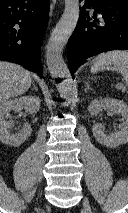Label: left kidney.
I'll return each mask as SVG.
<instances>
[{"label": "left kidney", "instance_id": "5707ae66", "mask_svg": "<svg viewBox=\"0 0 128 213\" xmlns=\"http://www.w3.org/2000/svg\"><path fill=\"white\" fill-rule=\"evenodd\" d=\"M102 110H110L115 114H120L124 122L119 126V130L111 135L104 133L103 126L96 123L92 127L95 139L108 148H116L128 142V105L118 99H94L88 106V111L92 116H96Z\"/></svg>", "mask_w": 128, "mask_h": 213}]
</instances>
